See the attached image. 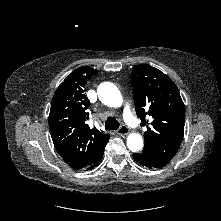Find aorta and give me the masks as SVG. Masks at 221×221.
Instances as JSON below:
<instances>
[{"label": "aorta", "instance_id": "obj_1", "mask_svg": "<svg viewBox=\"0 0 221 221\" xmlns=\"http://www.w3.org/2000/svg\"><path fill=\"white\" fill-rule=\"evenodd\" d=\"M98 97L100 101L109 107H120L123 99L119 89L110 82L99 85ZM127 146L132 152H137L143 147V139L139 133H131L127 137Z\"/></svg>", "mask_w": 221, "mask_h": 221}]
</instances>
